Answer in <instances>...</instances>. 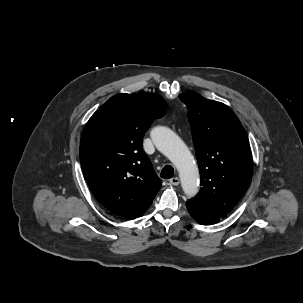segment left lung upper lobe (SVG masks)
Segmentation results:
<instances>
[{"instance_id":"left-lung-upper-lobe-1","label":"left lung upper lobe","mask_w":303,"mask_h":303,"mask_svg":"<svg viewBox=\"0 0 303 303\" xmlns=\"http://www.w3.org/2000/svg\"><path fill=\"white\" fill-rule=\"evenodd\" d=\"M188 107L202 188L188 201L224 218L245 194L252 178L247 134L232 110L195 91L179 95Z\"/></svg>"}]
</instances>
